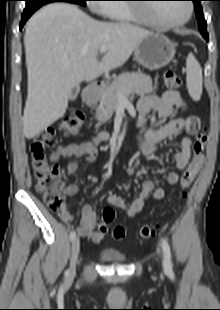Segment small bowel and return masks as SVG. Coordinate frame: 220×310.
<instances>
[{"label":"small bowel","mask_w":220,"mask_h":310,"mask_svg":"<svg viewBox=\"0 0 220 310\" xmlns=\"http://www.w3.org/2000/svg\"><path fill=\"white\" fill-rule=\"evenodd\" d=\"M175 109L185 111L186 102L182 94L177 90H167L162 96L145 95L142 96L137 105L138 117L137 127L139 128L138 136L140 138V149L142 153L149 156L159 141L170 136L177 135L181 132H186L189 135L198 133L200 128V119L194 115L181 116L171 119L156 129L145 128L147 116L150 112L155 111L160 119H168L172 116ZM192 139L189 136H184L179 145V149L174 153V161L178 170H184L191 158ZM98 156V141L90 139L81 143H70L59 146L52 154L51 160L58 162L71 157H84L87 162L92 163ZM79 169L77 162H70L66 166V172L69 175H74ZM92 183H98L96 176H91ZM179 181V174L176 171H171L167 175V182L170 185H176ZM78 191L76 184L68 186L67 194L74 195ZM149 195H152L154 200H162L165 197V190L161 187H155L151 180H146L143 183L142 189L137 196L130 201H126L118 194H110L108 202L126 212L129 217H135L144 207L145 200ZM58 215L63 222L70 224L74 220L66 205L58 211ZM77 232L82 237H87L93 242H100L106 232L107 226L104 223L98 222L97 214L94 209L85 204L81 209V219Z\"/></svg>","instance_id":"1"}]
</instances>
